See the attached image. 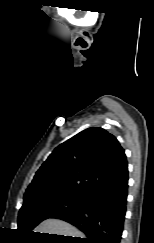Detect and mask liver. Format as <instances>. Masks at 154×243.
<instances>
[{
  "label": "liver",
  "mask_w": 154,
  "mask_h": 243,
  "mask_svg": "<svg viewBox=\"0 0 154 243\" xmlns=\"http://www.w3.org/2000/svg\"><path fill=\"white\" fill-rule=\"evenodd\" d=\"M34 232L83 238V233L71 224L58 219H47L40 223Z\"/></svg>",
  "instance_id": "6515ba94"
}]
</instances>
